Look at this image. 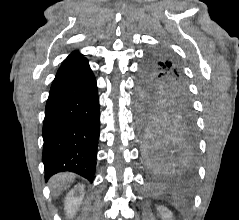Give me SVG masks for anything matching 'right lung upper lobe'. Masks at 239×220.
<instances>
[{"label": "right lung upper lobe", "mask_w": 239, "mask_h": 220, "mask_svg": "<svg viewBox=\"0 0 239 220\" xmlns=\"http://www.w3.org/2000/svg\"><path fill=\"white\" fill-rule=\"evenodd\" d=\"M84 60H86V58H83L80 53L74 52L65 59L58 72Z\"/></svg>", "instance_id": "obj_1"}]
</instances>
